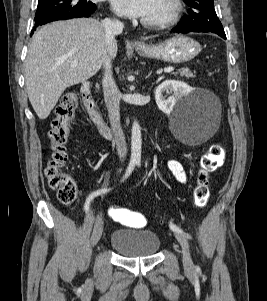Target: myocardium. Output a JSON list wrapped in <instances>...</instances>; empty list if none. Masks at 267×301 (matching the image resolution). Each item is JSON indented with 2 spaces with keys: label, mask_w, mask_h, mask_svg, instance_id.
Listing matches in <instances>:
<instances>
[{
  "label": "myocardium",
  "mask_w": 267,
  "mask_h": 301,
  "mask_svg": "<svg viewBox=\"0 0 267 301\" xmlns=\"http://www.w3.org/2000/svg\"><path fill=\"white\" fill-rule=\"evenodd\" d=\"M170 4V11L164 17L156 20L142 19V25L148 28L161 29L177 23L183 12V2L182 0H170Z\"/></svg>",
  "instance_id": "myocardium-1"
}]
</instances>
